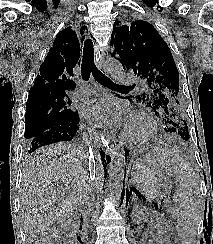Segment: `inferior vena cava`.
<instances>
[{
	"instance_id": "inferior-vena-cava-1",
	"label": "inferior vena cava",
	"mask_w": 213,
	"mask_h": 244,
	"mask_svg": "<svg viewBox=\"0 0 213 244\" xmlns=\"http://www.w3.org/2000/svg\"><path fill=\"white\" fill-rule=\"evenodd\" d=\"M84 141L85 142H88L89 141V138L88 137H85L84 138ZM85 147H89V150H88V154H89V165H88V168H89V173H90V180L93 181L91 183V188L89 187V192L85 195V198H84V202L82 204V208H83V213L86 217H90L93 213H94V210L96 208V203H95V193L93 191V189L97 188V185H98V180H97V177H96V173H97V170H96V167L94 165V152L92 150V148L89 146V145H85Z\"/></svg>"
}]
</instances>
